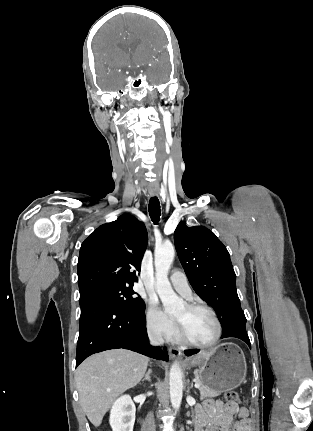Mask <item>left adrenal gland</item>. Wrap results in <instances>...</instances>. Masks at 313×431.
Listing matches in <instances>:
<instances>
[{"instance_id":"left-adrenal-gland-1","label":"left adrenal gland","mask_w":313,"mask_h":431,"mask_svg":"<svg viewBox=\"0 0 313 431\" xmlns=\"http://www.w3.org/2000/svg\"><path fill=\"white\" fill-rule=\"evenodd\" d=\"M193 387V383H191V388Z\"/></svg>"}]
</instances>
